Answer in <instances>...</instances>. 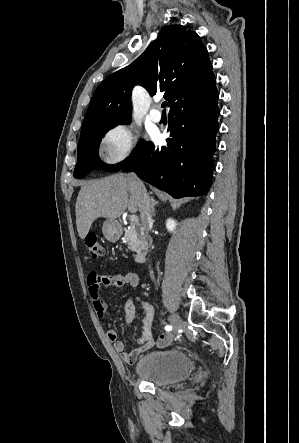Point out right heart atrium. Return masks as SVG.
<instances>
[{
    "instance_id": "1",
    "label": "right heart atrium",
    "mask_w": 299,
    "mask_h": 443,
    "mask_svg": "<svg viewBox=\"0 0 299 443\" xmlns=\"http://www.w3.org/2000/svg\"><path fill=\"white\" fill-rule=\"evenodd\" d=\"M138 130L129 124L110 127L102 136L100 147L106 162L116 164L129 158L137 145Z\"/></svg>"
}]
</instances>
